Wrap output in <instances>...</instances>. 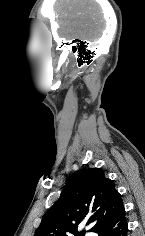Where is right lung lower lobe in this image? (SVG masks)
I'll list each match as a JSON object with an SVG mask.
<instances>
[{
  "instance_id": "obj_1",
  "label": "right lung lower lobe",
  "mask_w": 145,
  "mask_h": 236,
  "mask_svg": "<svg viewBox=\"0 0 145 236\" xmlns=\"http://www.w3.org/2000/svg\"><path fill=\"white\" fill-rule=\"evenodd\" d=\"M94 232L98 233L99 236H127L128 224L124 207Z\"/></svg>"
}]
</instances>
